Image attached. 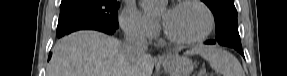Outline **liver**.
<instances>
[{"label": "liver", "mask_w": 287, "mask_h": 76, "mask_svg": "<svg viewBox=\"0 0 287 76\" xmlns=\"http://www.w3.org/2000/svg\"><path fill=\"white\" fill-rule=\"evenodd\" d=\"M151 55L133 62L123 54L122 43L97 31H77L54 47L47 76H151Z\"/></svg>", "instance_id": "6515ba94"}]
</instances>
